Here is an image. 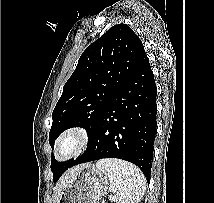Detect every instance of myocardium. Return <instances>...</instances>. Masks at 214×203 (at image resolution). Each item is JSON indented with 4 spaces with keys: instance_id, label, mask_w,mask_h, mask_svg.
<instances>
[{
    "instance_id": "obj_1",
    "label": "myocardium",
    "mask_w": 214,
    "mask_h": 203,
    "mask_svg": "<svg viewBox=\"0 0 214 203\" xmlns=\"http://www.w3.org/2000/svg\"><path fill=\"white\" fill-rule=\"evenodd\" d=\"M71 142L73 148L68 154L63 155L64 146ZM90 143L89 133L82 128H72L64 131L57 139L54 148V157L58 162L70 161L81 155Z\"/></svg>"
}]
</instances>
